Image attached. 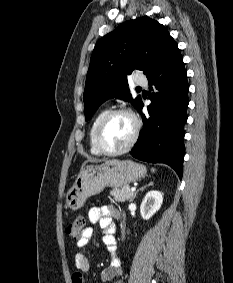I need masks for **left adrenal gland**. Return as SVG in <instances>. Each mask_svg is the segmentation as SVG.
I'll list each match as a JSON object with an SVG mask.
<instances>
[{
  "instance_id": "1",
  "label": "left adrenal gland",
  "mask_w": 233,
  "mask_h": 283,
  "mask_svg": "<svg viewBox=\"0 0 233 283\" xmlns=\"http://www.w3.org/2000/svg\"><path fill=\"white\" fill-rule=\"evenodd\" d=\"M151 185H153V182H150L148 185L143 186V187L140 189V191H143L147 186H151ZM137 192H138V191H137ZM137 192H135V194H134V196H133V198H132V201H133V199L136 197Z\"/></svg>"
}]
</instances>
